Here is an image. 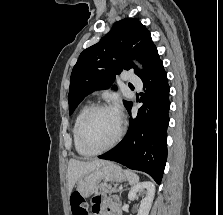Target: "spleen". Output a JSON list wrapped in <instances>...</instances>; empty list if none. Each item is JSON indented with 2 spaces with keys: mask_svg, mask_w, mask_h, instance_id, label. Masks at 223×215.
Wrapping results in <instances>:
<instances>
[{
  "mask_svg": "<svg viewBox=\"0 0 223 215\" xmlns=\"http://www.w3.org/2000/svg\"><path fill=\"white\" fill-rule=\"evenodd\" d=\"M127 179L131 185H134V183H138L139 181V175L137 173H134V171H129V169H124Z\"/></svg>",
  "mask_w": 223,
  "mask_h": 215,
  "instance_id": "1",
  "label": "spleen"
}]
</instances>
